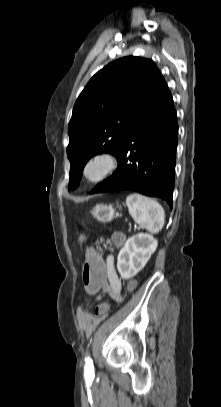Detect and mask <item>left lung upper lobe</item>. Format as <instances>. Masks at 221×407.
<instances>
[{"instance_id":"obj_1","label":"left lung upper lobe","mask_w":221,"mask_h":407,"mask_svg":"<svg viewBox=\"0 0 221 407\" xmlns=\"http://www.w3.org/2000/svg\"><path fill=\"white\" fill-rule=\"evenodd\" d=\"M162 79L152 60L134 56L109 63L91 78L68 125L72 190L92 156L119 153L130 125Z\"/></svg>"}]
</instances>
